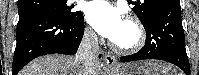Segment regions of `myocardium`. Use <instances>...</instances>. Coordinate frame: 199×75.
<instances>
[{"label": "myocardium", "mask_w": 199, "mask_h": 75, "mask_svg": "<svg viewBox=\"0 0 199 75\" xmlns=\"http://www.w3.org/2000/svg\"><path fill=\"white\" fill-rule=\"evenodd\" d=\"M127 22L130 25H132L133 28L136 31V39H135V41L132 44H130V45H120V44H118L116 42H112L111 45L118 52L136 53L140 49H142V47L145 44V41H146L145 30H144V27L141 24V22L135 17H132V16L128 17L127 18Z\"/></svg>", "instance_id": "obj_1"}]
</instances>
